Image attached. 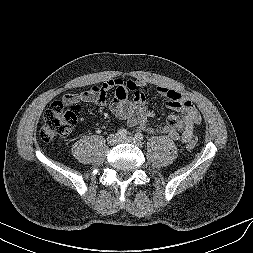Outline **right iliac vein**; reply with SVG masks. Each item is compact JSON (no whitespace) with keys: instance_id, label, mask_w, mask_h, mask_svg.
I'll use <instances>...</instances> for the list:
<instances>
[{"instance_id":"1","label":"right iliac vein","mask_w":253,"mask_h":253,"mask_svg":"<svg viewBox=\"0 0 253 253\" xmlns=\"http://www.w3.org/2000/svg\"><path fill=\"white\" fill-rule=\"evenodd\" d=\"M107 141L110 145L114 146L120 142V137L117 134H111L108 136Z\"/></svg>"}]
</instances>
